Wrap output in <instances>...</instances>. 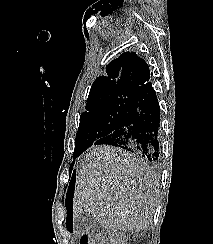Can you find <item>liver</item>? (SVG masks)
Masks as SVG:
<instances>
[{
	"label": "liver",
	"instance_id": "1",
	"mask_svg": "<svg viewBox=\"0 0 213 244\" xmlns=\"http://www.w3.org/2000/svg\"><path fill=\"white\" fill-rule=\"evenodd\" d=\"M158 200L157 177L143 161L121 148L98 146L77 172L73 219L86 213L111 231L145 230Z\"/></svg>",
	"mask_w": 213,
	"mask_h": 244
}]
</instances>
